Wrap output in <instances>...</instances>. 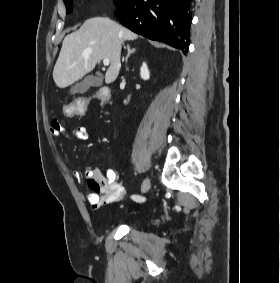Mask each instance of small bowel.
I'll list each match as a JSON object with an SVG mask.
<instances>
[{"instance_id":"obj_1","label":"small bowel","mask_w":280,"mask_h":283,"mask_svg":"<svg viewBox=\"0 0 280 283\" xmlns=\"http://www.w3.org/2000/svg\"><path fill=\"white\" fill-rule=\"evenodd\" d=\"M65 133V128L60 121L53 120L51 122L50 134L52 136L58 137ZM69 136L82 141L89 138L87 128L82 125L74 127ZM84 173L87 186L90 189V192L86 194V198L94 210H99L106 205L115 203L127 194L126 187L116 179V174L111 169L107 170L105 177L100 169L91 166H87L84 169ZM72 176L75 179H80L81 173L78 170H74L72 171Z\"/></svg>"}]
</instances>
